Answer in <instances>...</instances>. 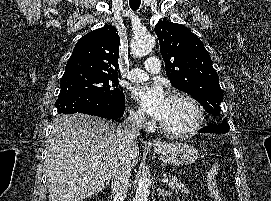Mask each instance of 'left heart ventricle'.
I'll list each match as a JSON object with an SVG mask.
<instances>
[{
  "mask_svg": "<svg viewBox=\"0 0 271 201\" xmlns=\"http://www.w3.org/2000/svg\"><path fill=\"white\" fill-rule=\"evenodd\" d=\"M195 119L194 110L183 100L168 99L165 116L160 122L170 129H183Z\"/></svg>",
  "mask_w": 271,
  "mask_h": 201,
  "instance_id": "obj_1",
  "label": "left heart ventricle"
}]
</instances>
